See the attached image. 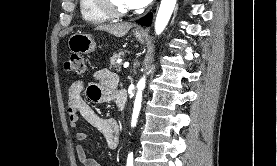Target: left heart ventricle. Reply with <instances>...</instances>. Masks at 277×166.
I'll return each instance as SVG.
<instances>
[{
	"label": "left heart ventricle",
	"mask_w": 277,
	"mask_h": 166,
	"mask_svg": "<svg viewBox=\"0 0 277 166\" xmlns=\"http://www.w3.org/2000/svg\"><path fill=\"white\" fill-rule=\"evenodd\" d=\"M113 4L120 10H128L125 0H112Z\"/></svg>",
	"instance_id": "1"
}]
</instances>
